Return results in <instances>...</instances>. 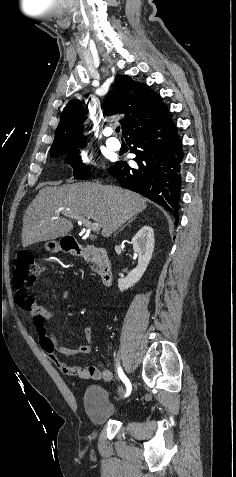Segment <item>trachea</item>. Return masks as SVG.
Masks as SVG:
<instances>
[{
  "mask_svg": "<svg viewBox=\"0 0 236 477\" xmlns=\"http://www.w3.org/2000/svg\"><path fill=\"white\" fill-rule=\"evenodd\" d=\"M116 133H119L120 132V127L118 126L116 129H115Z\"/></svg>",
  "mask_w": 236,
  "mask_h": 477,
  "instance_id": "obj_1",
  "label": "trachea"
}]
</instances>
